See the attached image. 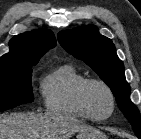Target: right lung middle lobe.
<instances>
[{
  "label": "right lung middle lobe",
  "instance_id": "dd1d6c3e",
  "mask_svg": "<svg viewBox=\"0 0 141 139\" xmlns=\"http://www.w3.org/2000/svg\"><path fill=\"white\" fill-rule=\"evenodd\" d=\"M32 66L0 68V112L34 101Z\"/></svg>",
  "mask_w": 141,
  "mask_h": 139
}]
</instances>
